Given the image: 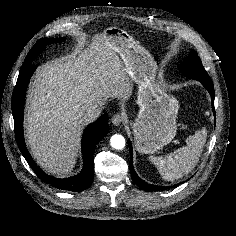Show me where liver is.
<instances>
[{
  "label": "liver",
  "mask_w": 236,
  "mask_h": 236,
  "mask_svg": "<svg viewBox=\"0 0 236 236\" xmlns=\"http://www.w3.org/2000/svg\"><path fill=\"white\" fill-rule=\"evenodd\" d=\"M132 80L104 34L89 48L39 67L28 92L25 133L36 162L46 172L68 175L86 125L83 109L109 98L127 100Z\"/></svg>",
  "instance_id": "6515ba94"
}]
</instances>
